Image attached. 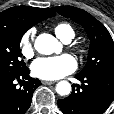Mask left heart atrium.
Here are the masks:
<instances>
[{
  "mask_svg": "<svg viewBox=\"0 0 114 114\" xmlns=\"http://www.w3.org/2000/svg\"><path fill=\"white\" fill-rule=\"evenodd\" d=\"M77 67L75 59L69 54L36 59L32 65V73L44 80H56L72 73Z\"/></svg>",
  "mask_w": 114,
  "mask_h": 114,
  "instance_id": "left-heart-atrium-1",
  "label": "left heart atrium"
}]
</instances>
